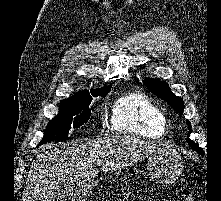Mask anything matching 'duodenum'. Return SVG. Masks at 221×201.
<instances>
[{
    "label": "duodenum",
    "instance_id": "1",
    "mask_svg": "<svg viewBox=\"0 0 221 201\" xmlns=\"http://www.w3.org/2000/svg\"><path fill=\"white\" fill-rule=\"evenodd\" d=\"M81 197H82L81 194H78L77 195V200L79 201L81 199Z\"/></svg>",
    "mask_w": 221,
    "mask_h": 201
}]
</instances>
